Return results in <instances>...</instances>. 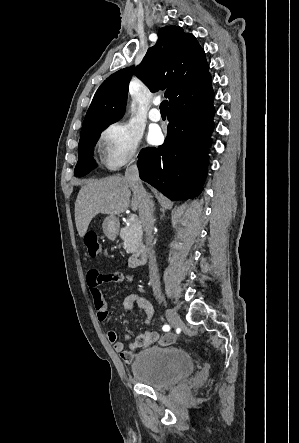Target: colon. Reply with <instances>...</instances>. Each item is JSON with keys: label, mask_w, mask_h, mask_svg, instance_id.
<instances>
[{"label": "colon", "mask_w": 299, "mask_h": 443, "mask_svg": "<svg viewBox=\"0 0 299 443\" xmlns=\"http://www.w3.org/2000/svg\"><path fill=\"white\" fill-rule=\"evenodd\" d=\"M84 244L90 257H97L101 253V245L95 232H87L84 235Z\"/></svg>", "instance_id": "obj_1"}]
</instances>
